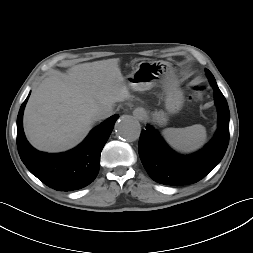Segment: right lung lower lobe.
<instances>
[{
	"instance_id": "right-lung-lower-lobe-1",
	"label": "right lung lower lobe",
	"mask_w": 253,
	"mask_h": 253,
	"mask_svg": "<svg viewBox=\"0 0 253 253\" xmlns=\"http://www.w3.org/2000/svg\"><path fill=\"white\" fill-rule=\"evenodd\" d=\"M29 98L21 105L17 117V148L28 170L47 186L58 191H72L89 185L100 169V154L119 115L115 114L95 127L76 148L59 154L34 149L26 140L22 116Z\"/></svg>"
}]
</instances>
